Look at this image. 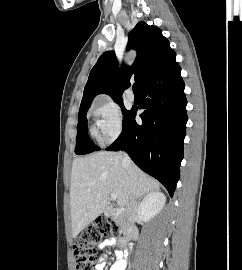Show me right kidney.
<instances>
[{"mask_svg": "<svg viewBox=\"0 0 242 270\" xmlns=\"http://www.w3.org/2000/svg\"><path fill=\"white\" fill-rule=\"evenodd\" d=\"M166 197L161 192L149 193L138 207V215L144 221H150L156 216L164 207Z\"/></svg>", "mask_w": 242, "mask_h": 270, "instance_id": "obj_1", "label": "right kidney"}]
</instances>
